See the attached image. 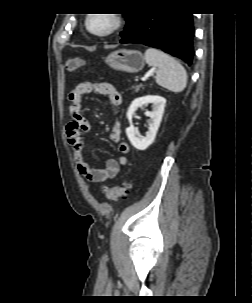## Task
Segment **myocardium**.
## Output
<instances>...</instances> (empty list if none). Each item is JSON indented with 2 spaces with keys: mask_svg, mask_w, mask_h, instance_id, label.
Listing matches in <instances>:
<instances>
[{
  "mask_svg": "<svg viewBox=\"0 0 252 303\" xmlns=\"http://www.w3.org/2000/svg\"><path fill=\"white\" fill-rule=\"evenodd\" d=\"M105 16L109 20L108 25L102 29H96L92 27L93 19ZM87 31L98 37L108 36L116 32L122 25V18L119 14L108 13V14H90L86 17L84 22Z\"/></svg>",
  "mask_w": 252,
  "mask_h": 303,
  "instance_id": "obj_1",
  "label": "myocardium"
}]
</instances>
